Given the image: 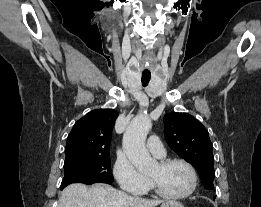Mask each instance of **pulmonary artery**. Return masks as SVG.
Returning <instances> with one entry per match:
<instances>
[{
  "label": "pulmonary artery",
  "instance_id": "1",
  "mask_svg": "<svg viewBox=\"0 0 261 207\" xmlns=\"http://www.w3.org/2000/svg\"><path fill=\"white\" fill-rule=\"evenodd\" d=\"M147 148L152 155L157 158H163L166 155V151L163 144L157 136H150L147 140Z\"/></svg>",
  "mask_w": 261,
  "mask_h": 207
}]
</instances>
